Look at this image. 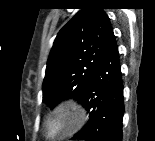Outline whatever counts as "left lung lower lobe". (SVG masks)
<instances>
[{
  "mask_svg": "<svg viewBox=\"0 0 155 141\" xmlns=\"http://www.w3.org/2000/svg\"><path fill=\"white\" fill-rule=\"evenodd\" d=\"M123 99L119 52L114 37L106 47L80 102L89 113V120L72 139L122 141Z\"/></svg>",
  "mask_w": 155,
  "mask_h": 141,
  "instance_id": "1",
  "label": "left lung lower lobe"
}]
</instances>
